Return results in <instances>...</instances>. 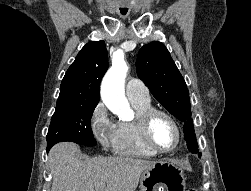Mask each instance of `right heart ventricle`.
I'll return each instance as SVG.
<instances>
[{
    "instance_id": "obj_1",
    "label": "right heart ventricle",
    "mask_w": 251,
    "mask_h": 191,
    "mask_svg": "<svg viewBox=\"0 0 251 191\" xmlns=\"http://www.w3.org/2000/svg\"><path fill=\"white\" fill-rule=\"evenodd\" d=\"M137 111V116L131 121H122L117 125L116 153L120 155L151 158L156 154L145 144L141 133L139 116L142 112L152 108L151 100H130Z\"/></svg>"
}]
</instances>
